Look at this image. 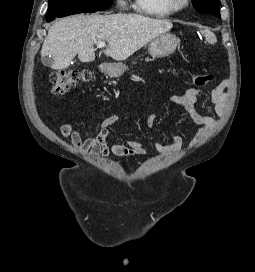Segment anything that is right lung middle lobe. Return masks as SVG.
Listing matches in <instances>:
<instances>
[{
    "label": "right lung middle lobe",
    "instance_id": "dd1d6c3e",
    "mask_svg": "<svg viewBox=\"0 0 255 272\" xmlns=\"http://www.w3.org/2000/svg\"><path fill=\"white\" fill-rule=\"evenodd\" d=\"M112 0H51L46 19L108 9Z\"/></svg>",
    "mask_w": 255,
    "mask_h": 272
}]
</instances>
